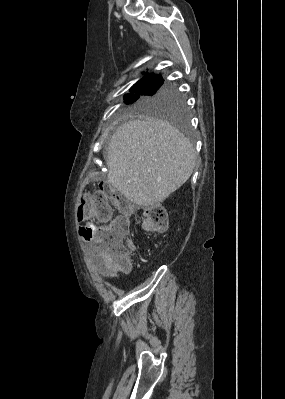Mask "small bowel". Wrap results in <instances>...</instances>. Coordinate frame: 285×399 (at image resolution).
<instances>
[{"label":"small bowel","instance_id":"obj_1","mask_svg":"<svg viewBox=\"0 0 285 399\" xmlns=\"http://www.w3.org/2000/svg\"><path fill=\"white\" fill-rule=\"evenodd\" d=\"M116 272H117V271H116V269L112 266V264H111L107 259H105V266H104V269H103V273H104L106 276H112V275H114Z\"/></svg>","mask_w":285,"mask_h":399}]
</instances>
